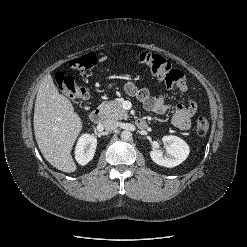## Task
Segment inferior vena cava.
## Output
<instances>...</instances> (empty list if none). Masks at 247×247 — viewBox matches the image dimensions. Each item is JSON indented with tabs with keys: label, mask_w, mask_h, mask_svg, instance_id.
I'll return each instance as SVG.
<instances>
[{
	"label": "inferior vena cava",
	"mask_w": 247,
	"mask_h": 247,
	"mask_svg": "<svg viewBox=\"0 0 247 247\" xmlns=\"http://www.w3.org/2000/svg\"><path fill=\"white\" fill-rule=\"evenodd\" d=\"M104 129L107 131H113L118 127V123L113 118H107L103 122Z\"/></svg>",
	"instance_id": "inferior-vena-cava-1"
}]
</instances>
